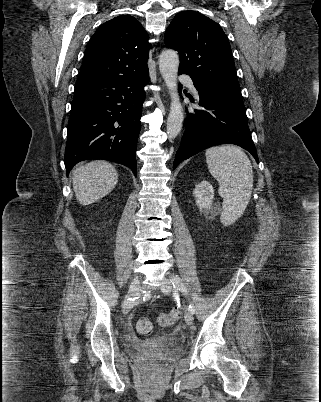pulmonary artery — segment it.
I'll return each mask as SVG.
<instances>
[{
  "instance_id": "obj_1",
  "label": "pulmonary artery",
  "mask_w": 321,
  "mask_h": 402,
  "mask_svg": "<svg viewBox=\"0 0 321 402\" xmlns=\"http://www.w3.org/2000/svg\"><path fill=\"white\" fill-rule=\"evenodd\" d=\"M179 82L182 83V84H187V85H189V86H190V89H191L194 93L197 92V91H196V88H195L194 85H193L192 78H191L189 75H180V76H179Z\"/></svg>"
}]
</instances>
